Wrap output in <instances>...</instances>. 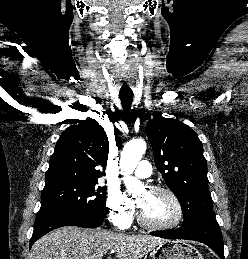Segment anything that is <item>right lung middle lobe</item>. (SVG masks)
Here are the masks:
<instances>
[{
    "instance_id": "obj_1",
    "label": "right lung middle lobe",
    "mask_w": 248,
    "mask_h": 259,
    "mask_svg": "<svg viewBox=\"0 0 248 259\" xmlns=\"http://www.w3.org/2000/svg\"><path fill=\"white\" fill-rule=\"evenodd\" d=\"M98 181H58L46 183L41 194V208L70 211L89 219L103 218L106 189Z\"/></svg>"
}]
</instances>
